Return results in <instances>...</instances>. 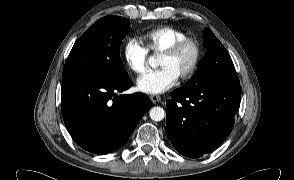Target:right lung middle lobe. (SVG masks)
<instances>
[{"mask_svg":"<svg viewBox=\"0 0 294 180\" xmlns=\"http://www.w3.org/2000/svg\"><path fill=\"white\" fill-rule=\"evenodd\" d=\"M129 31V22L124 17L107 16L97 21L72 47L62 82L80 77L128 79L120 58V45Z\"/></svg>","mask_w":294,"mask_h":180,"instance_id":"dd1d6c3e","label":"right lung middle lobe"}]
</instances>
